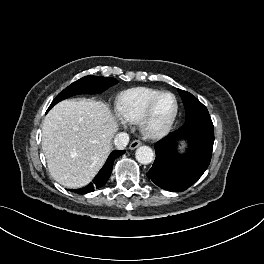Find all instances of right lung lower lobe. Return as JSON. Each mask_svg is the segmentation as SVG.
I'll use <instances>...</instances> for the list:
<instances>
[{"label":"right lung lower lobe","instance_id":"1","mask_svg":"<svg viewBox=\"0 0 264 264\" xmlns=\"http://www.w3.org/2000/svg\"><path fill=\"white\" fill-rule=\"evenodd\" d=\"M125 153L124 150L119 151H113L110 156L108 157L106 163L104 164L103 168L99 171V173L95 176V178L92 180L91 183H89L87 186L76 189V190H71L75 193L78 194H86L89 192H93L94 190L101 188L105 185L107 180L110 177V174L112 172V167H113V162L116 158L119 156L123 155Z\"/></svg>","mask_w":264,"mask_h":264}]
</instances>
